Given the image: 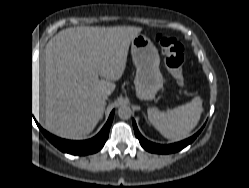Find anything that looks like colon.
Instances as JSON below:
<instances>
[{
    "mask_svg": "<svg viewBox=\"0 0 249 188\" xmlns=\"http://www.w3.org/2000/svg\"><path fill=\"white\" fill-rule=\"evenodd\" d=\"M154 40L163 52L164 64L169 73L180 86L184 87L186 82L182 73L184 62V48L182 44L176 38L162 33L156 34Z\"/></svg>",
    "mask_w": 249,
    "mask_h": 188,
    "instance_id": "5ec220e1",
    "label": "colon"
}]
</instances>
